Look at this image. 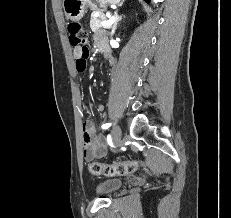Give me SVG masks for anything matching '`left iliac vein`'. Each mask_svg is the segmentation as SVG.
I'll use <instances>...</instances> for the list:
<instances>
[{
    "label": "left iliac vein",
    "instance_id": "4c4485c4",
    "mask_svg": "<svg viewBox=\"0 0 231 218\" xmlns=\"http://www.w3.org/2000/svg\"><path fill=\"white\" fill-rule=\"evenodd\" d=\"M121 137H122L121 128L119 125H116L112 130V140L116 147H119L122 145Z\"/></svg>",
    "mask_w": 231,
    "mask_h": 218
}]
</instances>
